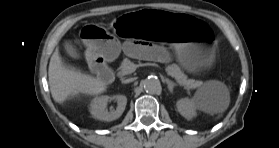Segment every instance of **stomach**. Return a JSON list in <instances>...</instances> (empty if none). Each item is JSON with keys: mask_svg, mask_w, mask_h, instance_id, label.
<instances>
[{"mask_svg": "<svg viewBox=\"0 0 279 148\" xmlns=\"http://www.w3.org/2000/svg\"><path fill=\"white\" fill-rule=\"evenodd\" d=\"M120 35L125 40L134 37L177 47L179 63L190 72L212 65L218 42V29L211 19L170 8L134 10L119 16L115 25L84 22L76 30L75 42L84 53L113 59L120 51Z\"/></svg>", "mask_w": 279, "mask_h": 148, "instance_id": "stomach-1", "label": "stomach"}]
</instances>
